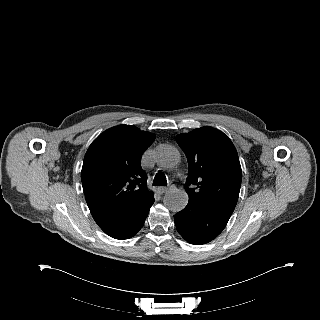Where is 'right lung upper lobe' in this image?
Returning a JSON list of instances; mask_svg holds the SVG:
<instances>
[{
  "instance_id": "1",
  "label": "right lung upper lobe",
  "mask_w": 320,
  "mask_h": 320,
  "mask_svg": "<svg viewBox=\"0 0 320 320\" xmlns=\"http://www.w3.org/2000/svg\"><path fill=\"white\" fill-rule=\"evenodd\" d=\"M155 135L118 125L90 145L81 171L82 186L97 224L134 212L154 200L140 159Z\"/></svg>"
}]
</instances>
